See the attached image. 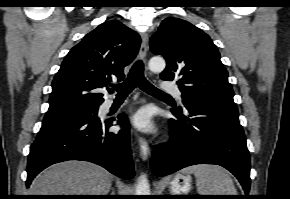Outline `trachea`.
<instances>
[{
    "label": "trachea",
    "mask_w": 290,
    "mask_h": 199,
    "mask_svg": "<svg viewBox=\"0 0 290 199\" xmlns=\"http://www.w3.org/2000/svg\"><path fill=\"white\" fill-rule=\"evenodd\" d=\"M112 87L117 91L118 96H126L136 87H139L144 92L155 97L169 96L153 86L145 78L143 73V62L141 60H137L133 64L127 79L123 83L112 85Z\"/></svg>",
    "instance_id": "trachea-1"
}]
</instances>
